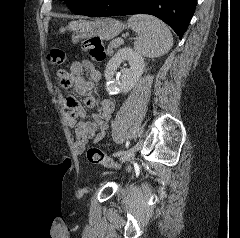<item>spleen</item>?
Wrapping results in <instances>:
<instances>
[{"label": "spleen", "mask_w": 240, "mask_h": 238, "mask_svg": "<svg viewBox=\"0 0 240 238\" xmlns=\"http://www.w3.org/2000/svg\"><path fill=\"white\" fill-rule=\"evenodd\" d=\"M128 26L138 34L135 50L146 57H160L173 45V37L165 23L150 15H134Z\"/></svg>", "instance_id": "obj_1"}]
</instances>
